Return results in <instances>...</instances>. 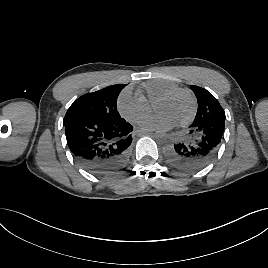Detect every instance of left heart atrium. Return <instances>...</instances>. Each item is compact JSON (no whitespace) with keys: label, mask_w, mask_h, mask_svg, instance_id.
<instances>
[{"label":"left heart atrium","mask_w":268,"mask_h":268,"mask_svg":"<svg viewBox=\"0 0 268 268\" xmlns=\"http://www.w3.org/2000/svg\"><path fill=\"white\" fill-rule=\"evenodd\" d=\"M150 124L153 127H156L159 129H169V128L173 127L176 123H174L168 117L158 114L151 119Z\"/></svg>","instance_id":"left-heart-atrium-1"}]
</instances>
